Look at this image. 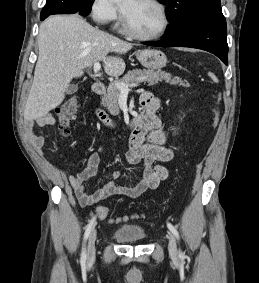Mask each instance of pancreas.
<instances>
[{"instance_id":"cf45deb5","label":"pancreas","mask_w":259,"mask_h":283,"mask_svg":"<svg viewBox=\"0 0 259 283\" xmlns=\"http://www.w3.org/2000/svg\"><path fill=\"white\" fill-rule=\"evenodd\" d=\"M165 80L167 83L172 85H179L186 87L188 85L187 81L180 79L179 77H172L169 73L164 71L156 70H141L136 69L128 71L126 75L119 81L125 84L131 85L139 82H148L149 85H154L158 81ZM120 90L114 85H110L107 88V93L102 97V104L107 107L111 115H119V104L118 100L120 97Z\"/></svg>"}]
</instances>
